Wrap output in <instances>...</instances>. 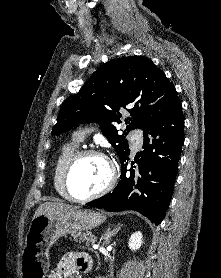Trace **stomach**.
Instances as JSON below:
<instances>
[{"label":"stomach","instance_id":"1","mask_svg":"<svg viewBox=\"0 0 221 278\" xmlns=\"http://www.w3.org/2000/svg\"><path fill=\"white\" fill-rule=\"evenodd\" d=\"M106 220L103 213L73 209L65 213L41 214L31 221L25 239L22 264L23 278H46L50 247L68 233L91 230Z\"/></svg>","mask_w":221,"mask_h":278}]
</instances>
